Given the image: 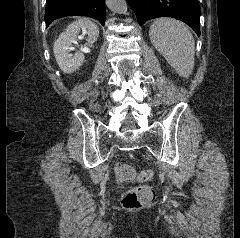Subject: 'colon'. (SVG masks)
<instances>
[{
    "mask_svg": "<svg viewBox=\"0 0 240 238\" xmlns=\"http://www.w3.org/2000/svg\"><path fill=\"white\" fill-rule=\"evenodd\" d=\"M150 172L138 174L131 166L122 165L116 171L117 181L120 183L132 180H144ZM155 198L154 190L147 184H137L128 189L122 197V206L125 209H139L150 205Z\"/></svg>",
    "mask_w": 240,
    "mask_h": 238,
    "instance_id": "1",
    "label": "colon"
}]
</instances>
